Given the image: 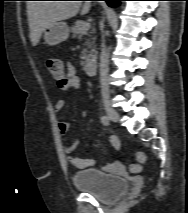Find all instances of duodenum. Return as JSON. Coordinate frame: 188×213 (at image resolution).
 <instances>
[{
    "mask_svg": "<svg viewBox=\"0 0 188 213\" xmlns=\"http://www.w3.org/2000/svg\"><path fill=\"white\" fill-rule=\"evenodd\" d=\"M85 71L88 75L92 76L96 74L97 65L94 60H89L85 63Z\"/></svg>",
    "mask_w": 188,
    "mask_h": 213,
    "instance_id": "410a0bca",
    "label": "duodenum"
}]
</instances>
